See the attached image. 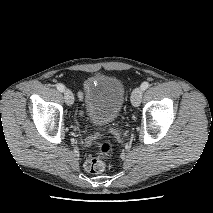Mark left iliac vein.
<instances>
[{
	"instance_id": "left-iliac-vein-1",
	"label": "left iliac vein",
	"mask_w": 213,
	"mask_h": 213,
	"mask_svg": "<svg viewBox=\"0 0 213 213\" xmlns=\"http://www.w3.org/2000/svg\"><path fill=\"white\" fill-rule=\"evenodd\" d=\"M143 90L141 88H135L131 95V103L133 106L138 107L141 103Z\"/></svg>"
}]
</instances>
